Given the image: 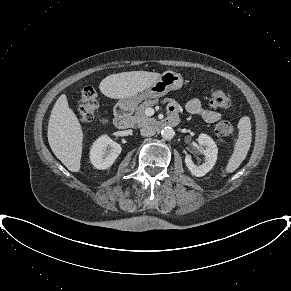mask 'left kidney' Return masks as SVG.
Masks as SVG:
<instances>
[{
	"mask_svg": "<svg viewBox=\"0 0 291 291\" xmlns=\"http://www.w3.org/2000/svg\"><path fill=\"white\" fill-rule=\"evenodd\" d=\"M198 143L205 147V150L203 151V154L205 155V163L195 165L192 161V157L190 155H186L185 164L192 175L202 177L206 175L215 165L217 161L218 149L213 139L207 134H200L198 137Z\"/></svg>",
	"mask_w": 291,
	"mask_h": 291,
	"instance_id": "left-kidney-1",
	"label": "left kidney"
}]
</instances>
